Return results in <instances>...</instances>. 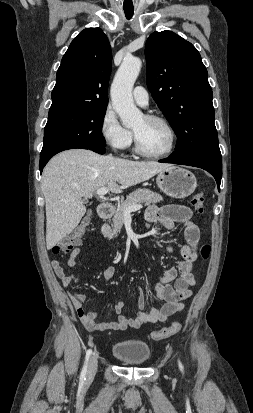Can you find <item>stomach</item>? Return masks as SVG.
<instances>
[{"mask_svg": "<svg viewBox=\"0 0 253 413\" xmlns=\"http://www.w3.org/2000/svg\"><path fill=\"white\" fill-rule=\"evenodd\" d=\"M156 184L166 195L182 199L194 192L197 180L190 171L178 166H170L157 174Z\"/></svg>", "mask_w": 253, "mask_h": 413, "instance_id": "stomach-1", "label": "stomach"}]
</instances>
